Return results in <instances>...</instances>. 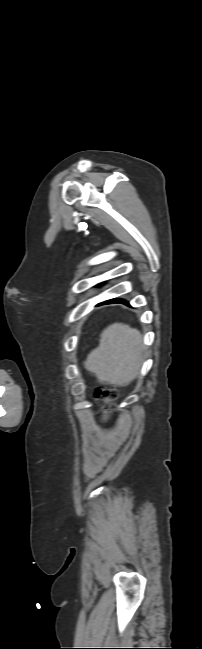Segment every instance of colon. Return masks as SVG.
I'll return each mask as SVG.
<instances>
[{
	"instance_id": "1",
	"label": "colon",
	"mask_w": 202,
	"mask_h": 649,
	"mask_svg": "<svg viewBox=\"0 0 202 649\" xmlns=\"http://www.w3.org/2000/svg\"><path fill=\"white\" fill-rule=\"evenodd\" d=\"M118 396L117 390L113 387H103L96 391L95 398L102 403L100 419L106 422L110 417V407Z\"/></svg>"
}]
</instances>
